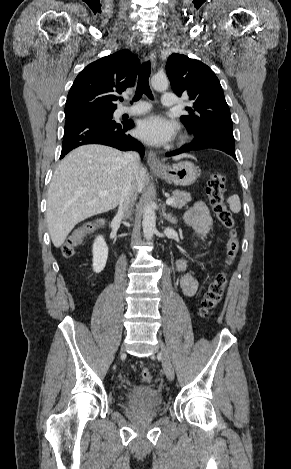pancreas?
Wrapping results in <instances>:
<instances>
[{"label": "pancreas", "instance_id": "cf45deb5", "mask_svg": "<svg viewBox=\"0 0 291 469\" xmlns=\"http://www.w3.org/2000/svg\"><path fill=\"white\" fill-rule=\"evenodd\" d=\"M173 199L174 202L171 204V206L175 208H182L187 204V202L190 201L191 197L190 194L185 191L175 190L173 191Z\"/></svg>", "mask_w": 291, "mask_h": 469}]
</instances>
